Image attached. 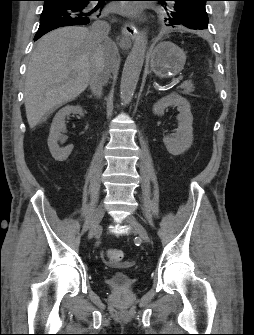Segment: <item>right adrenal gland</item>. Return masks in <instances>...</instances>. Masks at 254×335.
Listing matches in <instances>:
<instances>
[{
  "label": "right adrenal gland",
  "mask_w": 254,
  "mask_h": 335,
  "mask_svg": "<svg viewBox=\"0 0 254 335\" xmlns=\"http://www.w3.org/2000/svg\"><path fill=\"white\" fill-rule=\"evenodd\" d=\"M88 97H89V98H91V97H92V95H89Z\"/></svg>",
  "instance_id": "1"
}]
</instances>
